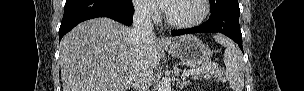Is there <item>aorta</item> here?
I'll return each mask as SVG.
<instances>
[{"instance_id":"762f6f07","label":"aorta","mask_w":304,"mask_h":91,"mask_svg":"<svg viewBox=\"0 0 304 91\" xmlns=\"http://www.w3.org/2000/svg\"><path fill=\"white\" fill-rule=\"evenodd\" d=\"M158 91H171L170 81L166 78H162L158 83Z\"/></svg>"}]
</instances>
